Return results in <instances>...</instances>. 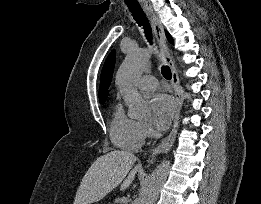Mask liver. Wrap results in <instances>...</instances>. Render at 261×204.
I'll return each mask as SVG.
<instances>
[{
  "instance_id": "1",
  "label": "liver",
  "mask_w": 261,
  "mask_h": 204,
  "mask_svg": "<svg viewBox=\"0 0 261 204\" xmlns=\"http://www.w3.org/2000/svg\"><path fill=\"white\" fill-rule=\"evenodd\" d=\"M136 160L135 155L121 150H114L98 157L85 173L73 204L98 202L123 180L120 190L124 191L141 170L140 164L133 168Z\"/></svg>"
}]
</instances>
